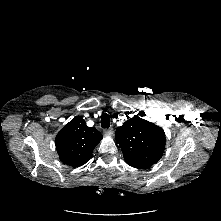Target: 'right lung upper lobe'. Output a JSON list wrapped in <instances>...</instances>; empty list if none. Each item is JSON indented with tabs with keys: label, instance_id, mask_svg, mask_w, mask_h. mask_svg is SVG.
Instances as JSON below:
<instances>
[{
	"label": "right lung upper lobe",
	"instance_id": "right-lung-upper-lobe-1",
	"mask_svg": "<svg viewBox=\"0 0 221 221\" xmlns=\"http://www.w3.org/2000/svg\"><path fill=\"white\" fill-rule=\"evenodd\" d=\"M102 134L88 127L81 118H74L57 134L55 144L60 160L69 166L78 167L91 157Z\"/></svg>",
	"mask_w": 221,
	"mask_h": 221
}]
</instances>
